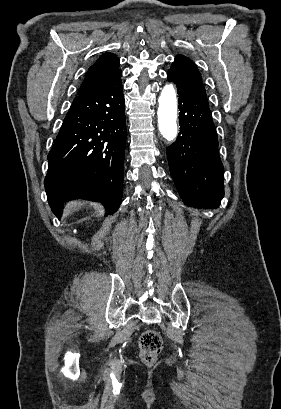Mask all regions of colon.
Masks as SVG:
<instances>
[{
	"label": "colon",
	"mask_w": 281,
	"mask_h": 409,
	"mask_svg": "<svg viewBox=\"0 0 281 409\" xmlns=\"http://www.w3.org/2000/svg\"><path fill=\"white\" fill-rule=\"evenodd\" d=\"M163 347L160 334L154 329H146L140 337L141 358L144 362H153Z\"/></svg>",
	"instance_id": "1"
}]
</instances>
